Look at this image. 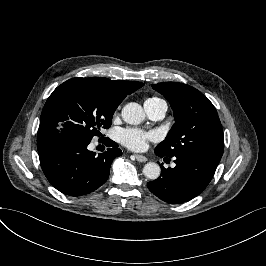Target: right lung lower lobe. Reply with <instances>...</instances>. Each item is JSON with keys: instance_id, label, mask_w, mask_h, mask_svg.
<instances>
[{"instance_id": "right-lung-lower-lobe-1", "label": "right lung lower lobe", "mask_w": 266, "mask_h": 266, "mask_svg": "<svg viewBox=\"0 0 266 266\" xmlns=\"http://www.w3.org/2000/svg\"><path fill=\"white\" fill-rule=\"evenodd\" d=\"M90 141L59 138L38 150L42 170L60 192L80 196L96 190L108 179L114 158L122 155L118 145L104 138L110 147L96 156L87 149Z\"/></svg>"}]
</instances>
